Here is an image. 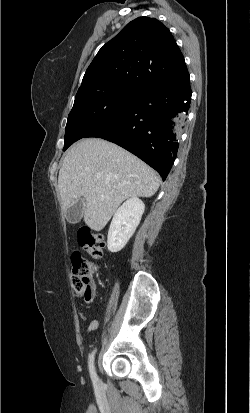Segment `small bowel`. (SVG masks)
Listing matches in <instances>:
<instances>
[{
  "label": "small bowel",
  "instance_id": "small-bowel-1",
  "mask_svg": "<svg viewBox=\"0 0 250 413\" xmlns=\"http://www.w3.org/2000/svg\"><path fill=\"white\" fill-rule=\"evenodd\" d=\"M96 327H97V321L93 320V321L90 322L87 331L91 332V331L95 330Z\"/></svg>",
  "mask_w": 250,
  "mask_h": 413
}]
</instances>
